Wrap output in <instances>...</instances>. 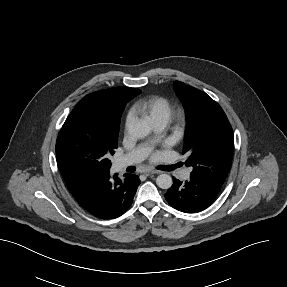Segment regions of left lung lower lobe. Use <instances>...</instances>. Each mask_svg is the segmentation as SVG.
<instances>
[{"instance_id":"obj_1","label":"left lung lower lobe","mask_w":287,"mask_h":287,"mask_svg":"<svg viewBox=\"0 0 287 287\" xmlns=\"http://www.w3.org/2000/svg\"><path fill=\"white\" fill-rule=\"evenodd\" d=\"M173 179L174 183L165 194V199L173 208L185 213L206 209L221 190V186L198 175L190 174V180L186 182Z\"/></svg>"}]
</instances>
